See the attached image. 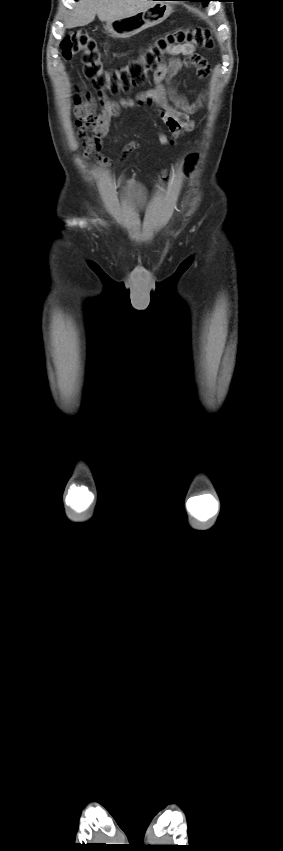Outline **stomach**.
<instances>
[{"label": "stomach", "instance_id": "stomach-1", "mask_svg": "<svg viewBox=\"0 0 283 851\" xmlns=\"http://www.w3.org/2000/svg\"><path fill=\"white\" fill-rule=\"evenodd\" d=\"M172 12L167 2H155L134 15L107 22L105 29L115 38L126 39L162 23Z\"/></svg>", "mask_w": 283, "mask_h": 851}]
</instances>
